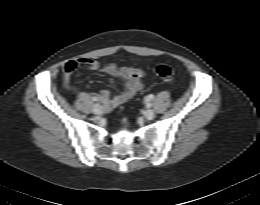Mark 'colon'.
<instances>
[{
    "mask_svg": "<svg viewBox=\"0 0 260 205\" xmlns=\"http://www.w3.org/2000/svg\"><path fill=\"white\" fill-rule=\"evenodd\" d=\"M156 75L165 82L172 83L174 80L173 69L167 64H158L155 68Z\"/></svg>",
    "mask_w": 260,
    "mask_h": 205,
    "instance_id": "1",
    "label": "colon"
}]
</instances>
